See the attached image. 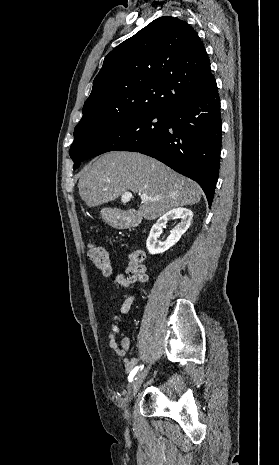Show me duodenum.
<instances>
[{
  "instance_id": "410a0bca",
  "label": "duodenum",
  "mask_w": 279,
  "mask_h": 465,
  "mask_svg": "<svg viewBox=\"0 0 279 465\" xmlns=\"http://www.w3.org/2000/svg\"><path fill=\"white\" fill-rule=\"evenodd\" d=\"M139 223V217L136 214L126 215L122 219V225L126 228L136 226Z\"/></svg>"
}]
</instances>
